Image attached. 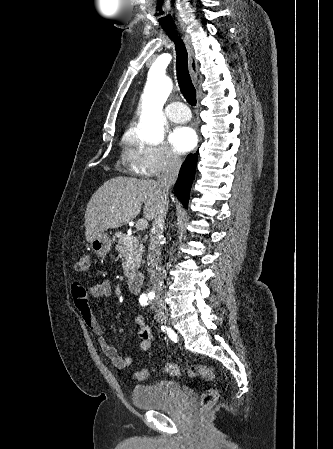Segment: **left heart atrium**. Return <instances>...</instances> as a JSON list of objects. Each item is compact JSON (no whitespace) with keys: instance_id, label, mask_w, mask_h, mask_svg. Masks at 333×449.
I'll return each mask as SVG.
<instances>
[{"instance_id":"39dd6f15","label":"left heart atrium","mask_w":333,"mask_h":449,"mask_svg":"<svg viewBox=\"0 0 333 449\" xmlns=\"http://www.w3.org/2000/svg\"><path fill=\"white\" fill-rule=\"evenodd\" d=\"M169 141L175 151L185 153L196 145L197 136L191 127L179 126L171 132Z\"/></svg>"}]
</instances>
